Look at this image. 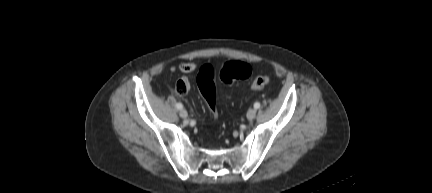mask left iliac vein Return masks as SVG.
<instances>
[{
	"instance_id": "left-iliac-vein-1",
	"label": "left iliac vein",
	"mask_w": 432,
	"mask_h": 193,
	"mask_svg": "<svg viewBox=\"0 0 432 193\" xmlns=\"http://www.w3.org/2000/svg\"><path fill=\"white\" fill-rule=\"evenodd\" d=\"M255 116H256V110L253 109V108L249 109L248 112H247V118L249 120H252V119L255 118Z\"/></svg>"
}]
</instances>
